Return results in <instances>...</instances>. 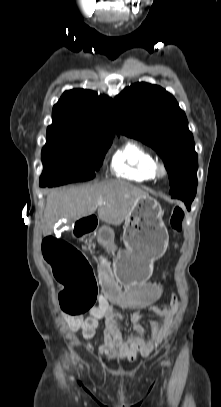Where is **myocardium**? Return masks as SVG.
Segmentation results:
<instances>
[{
    "mask_svg": "<svg viewBox=\"0 0 221 407\" xmlns=\"http://www.w3.org/2000/svg\"><path fill=\"white\" fill-rule=\"evenodd\" d=\"M155 174L158 178H165L168 175V169L162 162H157L155 166Z\"/></svg>",
    "mask_w": 221,
    "mask_h": 407,
    "instance_id": "1",
    "label": "myocardium"
}]
</instances>
